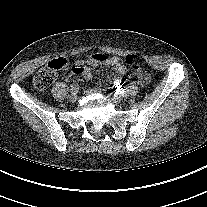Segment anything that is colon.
Returning a JSON list of instances; mask_svg holds the SVG:
<instances>
[{
    "instance_id": "colon-1",
    "label": "colon",
    "mask_w": 207,
    "mask_h": 207,
    "mask_svg": "<svg viewBox=\"0 0 207 207\" xmlns=\"http://www.w3.org/2000/svg\"><path fill=\"white\" fill-rule=\"evenodd\" d=\"M96 58L99 61H106L110 56L98 54ZM69 64L66 58H57L52 60L46 67L40 69L33 77V84L39 90L47 89L56 79V71L67 67ZM127 68L134 71H144L147 69V63L137 55H129L126 58Z\"/></svg>"
}]
</instances>
